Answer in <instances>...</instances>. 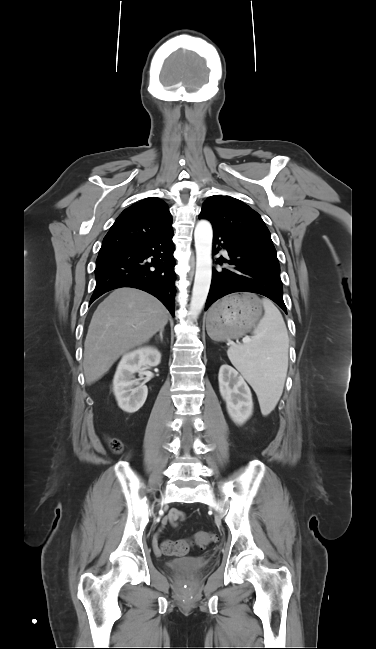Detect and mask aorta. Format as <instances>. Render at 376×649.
Here are the masks:
<instances>
[{"label": "aorta", "mask_w": 376, "mask_h": 649, "mask_svg": "<svg viewBox=\"0 0 376 649\" xmlns=\"http://www.w3.org/2000/svg\"><path fill=\"white\" fill-rule=\"evenodd\" d=\"M212 237L213 231L211 223L206 220H200L194 231L196 273L190 303V313L193 318H195L203 309L211 284Z\"/></svg>", "instance_id": "aorta-1"}]
</instances>
